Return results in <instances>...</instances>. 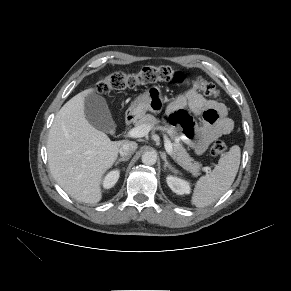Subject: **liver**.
<instances>
[{
	"instance_id": "6515ba94",
	"label": "liver",
	"mask_w": 291,
	"mask_h": 291,
	"mask_svg": "<svg viewBox=\"0 0 291 291\" xmlns=\"http://www.w3.org/2000/svg\"><path fill=\"white\" fill-rule=\"evenodd\" d=\"M93 91V88L84 90L63 105L55 116L47 142L52 176L72 198L88 204L102 199V178L126 142L111 141L87 121L84 100Z\"/></svg>"
}]
</instances>
